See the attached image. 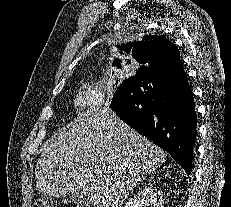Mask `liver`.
<instances>
[{"label":"liver","instance_id":"1","mask_svg":"<svg viewBox=\"0 0 231 207\" xmlns=\"http://www.w3.org/2000/svg\"><path fill=\"white\" fill-rule=\"evenodd\" d=\"M164 158L161 148L106 106L81 114L45 142L36 186L44 195L82 191L94 207H120Z\"/></svg>","mask_w":231,"mask_h":207}]
</instances>
